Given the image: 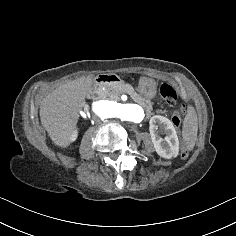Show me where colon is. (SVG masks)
<instances>
[{
	"instance_id": "5ec220e1",
	"label": "colon",
	"mask_w": 236,
	"mask_h": 236,
	"mask_svg": "<svg viewBox=\"0 0 236 236\" xmlns=\"http://www.w3.org/2000/svg\"><path fill=\"white\" fill-rule=\"evenodd\" d=\"M160 95L169 106H174L177 102V92L175 88L169 83H163L160 86ZM182 116V110L176 112L172 118L175 126H179Z\"/></svg>"
}]
</instances>
